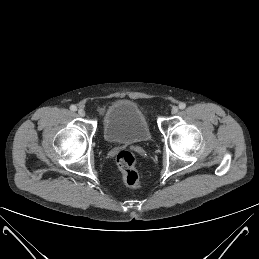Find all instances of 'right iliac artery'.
I'll use <instances>...</instances> for the list:
<instances>
[{
	"instance_id": "1",
	"label": "right iliac artery",
	"mask_w": 259,
	"mask_h": 259,
	"mask_svg": "<svg viewBox=\"0 0 259 259\" xmlns=\"http://www.w3.org/2000/svg\"><path fill=\"white\" fill-rule=\"evenodd\" d=\"M70 110H71V111H76V110H77V107H76L75 105H71V106H70Z\"/></svg>"
}]
</instances>
